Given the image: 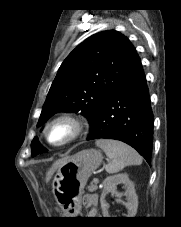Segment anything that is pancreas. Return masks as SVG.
I'll list each match as a JSON object with an SVG mask.
<instances>
[{
    "label": "pancreas",
    "instance_id": "1",
    "mask_svg": "<svg viewBox=\"0 0 181 227\" xmlns=\"http://www.w3.org/2000/svg\"><path fill=\"white\" fill-rule=\"evenodd\" d=\"M98 189V187H97V184H95V183H91L88 187H87V190L89 191V192H94V191H96Z\"/></svg>",
    "mask_w": 181,
    "mask_h": 227
}]
</instances>
